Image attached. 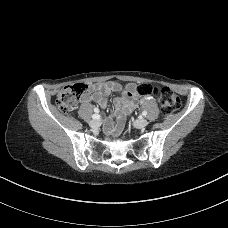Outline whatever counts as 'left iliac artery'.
<instances>
[{
  "mask_svg": "<svg viewBox=\"0 0 228 228\" xmlns=\"http://www.w3.org/2000/svg\"><path fill=\"white\" fill-rule=\"evenodd\" d=\"M142 115H143V116H146V115H147V111H143V112H142Z\"/></svg>",
  "mask_w": 228,
  "mask_h": 228,
  "instance_id": "left-iliac-artery-1",
  "label": "left iliac artery"
}]
</instances>
